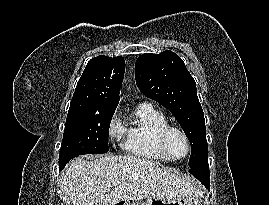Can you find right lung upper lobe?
Masks as SVG:
<instances>
[{
  "label": "right lung upper lobe",
  "mask_w": 269,
  "mask_h": 205,
  "mask_svg": "<svg viewBox=\"0 0 269 205\" xmlns=\"http://www.w3.org/2000/svg\"><path fill=\"white\" fill-rule=\"evenodd\" d=\"M125 61L121 56L91 59L79 79L69 109L114 112L119 102Z\"/></svg>",
  "instance_id": "cb5924a9"
}]
</instances>
